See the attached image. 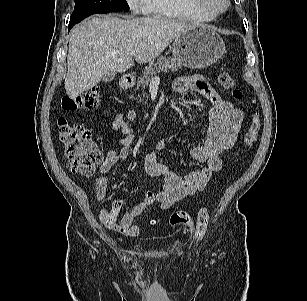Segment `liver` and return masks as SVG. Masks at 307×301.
<instances>
[{
    "label": "liver",
    "mask_w": 307,
    "mask_h": 301,
    "mask_svg": "<svg viewBox=\"0 0 307 301\" xmlns=\"http://www.w3.org/2000/svg\"><path fill=\"white\" fill-rule=\"evenodd\" d=\"M193 25L161 16L121 19L93 17L70 32L65 89L74 99L96 86L110 71L123 73L137 63L159 56Z\"/></svg>",
    "instance_id": "liver-1"
}]
</instances>
